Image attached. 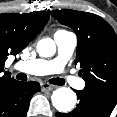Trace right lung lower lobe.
<instances>
[{
  "label": "right lung lower lobe",
  "mask_w": 117,
  "mask_h": 117,
  "mask_svg": "<svg viewBox=\"0 0 117 117\" xmlns=\"http://www.w3.org/2000/svg\"><path fill=\"white\" fill-rule=\"evenodd\" d=\"M40 91L37 82L14 81L0 89V117H25L34 93Z\"/></svg>",
  "instance_id": "1"
}]
</instances>
